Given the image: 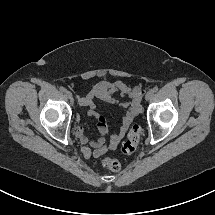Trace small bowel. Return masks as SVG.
Wrapping results in <instances>:
<instances>
[{
  "label": "small bowel",
  "instance_id": "1",
  "mask_svg": "<svg viewBox=\"0 0 215 215\" xmlns=\"http://www.w3.org/2000/svg\"><path fill=\"white\" fill-rule=\"evenodd\" d=\"M114 93L128 96L131 98V101L121 103L122 108L125 110L121 127L117 133L110 134L105 117L97 112L96 101L114 104L117 102L113 96ZM142 93L141 87H130L123 81H101L86 96L80 99V105L88 108V115L96 120L98 128V136L96 138L88 137L85 134L83 125H78L75 128V136L84 145L82 152L86 158L91 156L98 158L105 154L108 149L113 150L117 148L129 125L142 109Z\"/></svg>",
  "mask_w": 215,
  "mask_h": 215
}]
</instances>
